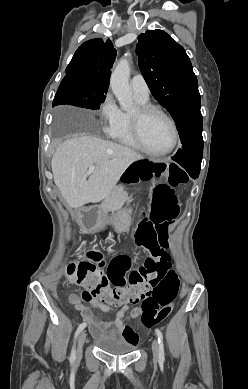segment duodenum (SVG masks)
Segmentation results:
<instances>
[{"mask_svg":"<svg viewBox=\"0 0 248 389\" xmlns=\"http://www.w3.org/2000/svg\"><path fill=\"white\" fill-rule=\"evenodd\" d=\"M89 213V209L82 211L79 214V222L86 227L87 230H95L96 226H90L89 225V220L84 219V214Z\"/></svg>","mask_w":248,"mask_h":389,"instance_id":"1","label":"duodenum"}]
</instances>
